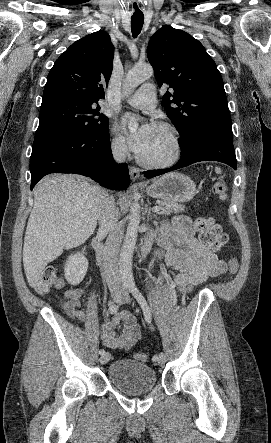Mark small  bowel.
<instances>
[{"label": "small bowel", "instance_id": "obj_1", "mask_svg": "<svg viewBox=\"0 0 271 443\" xmlns=\"http://www.w3.org/2000/svg\"><path fill=\"white\" fill-rule=\"evenodd\" d=\"M163 257L168 267L176 272L174 284L181 291L217 277L226 271V262L194 237L188 217L178 216L163 234ZM83 288L68 289L64 292L62 309L68 317L84 322L81 309ZM142 328L136 317L129 312L112 316L102 326L101 341L111 349H130L141 337Z\"/></svg>", "mask_w": 271, "mask_h": 443}]
</instances>
